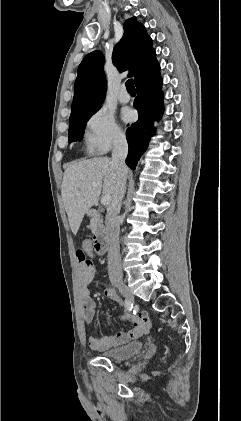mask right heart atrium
Instances as JSON below:
<instances>
[{
	"instance_id": "d8ad5b80",
	"label": "right heart atrium",
	"mask_w": 241,
	"mask_h": 421,
	"mask_svg": "<svg viewBox=\"0 0 241 421\" xmlns=\"http://www.w3.org/2000/svg\"><path fill=\"white\" fill-rule=\"evenodd\" d=\"M85 140L91 153L101 155L125 141V134L111 113L95 111L85 125Z\"/></svg>"
}]
</instances>
